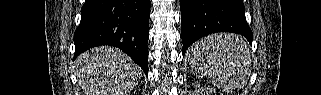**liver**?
<instances>
[{"mask_svg":"<svg viewBox=\"0 0 321 95\" xmlns=\"http://www.w3.org/2000/svg\"><path fill=\"white\" fill-rule=\"evenodd\" d=\"M85 95H127L139 83L141 69L121 50L101 46L77 58Z\"/></svg>","mask_w":321,"mask_h":95,"instance_id":"liver-1","label":"liver"}]
</instances>
